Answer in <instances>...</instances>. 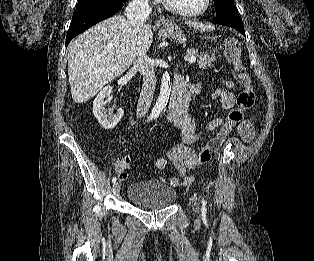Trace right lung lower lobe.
<instances>
[{"instance_id": "1", "label": "right lung lower lobe", "mask_w": 314, "mask_h": 261, "mask_svg": "<svg viewBox=\"0 0 314 261\" xmlns=\"http://www.w3.org/2000/svg\"><path fill=\"white\" fill-rule=\"evenodd\" d=\"M128 0H113L93 5L81 11H76L72 17L66 37V47L69 42L78 34L91 26L103 21L122 8V3Z\"/></svg>"}]
</instances>
